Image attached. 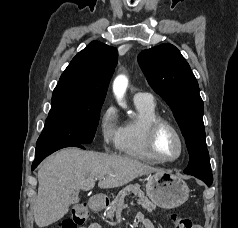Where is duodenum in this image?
I'll list each match as a JSON object with an SVG mask.
<instances>
[{"instance_id":"obj_1","label":"duodenum","mask_w":238,"mask_h":228,"mask_svg":"<svg viewBox=\"0 0 238 228\" xmlns=\"http://www.w3.org/2000/svg\"><path fill=\"white\" fill-rule=\"evenodd\" d=\"M107 204L108 199L103 195H95L94 197H92L89 203L90 207L95 211L103 210Z\"/></svg>"}]
</instances>
